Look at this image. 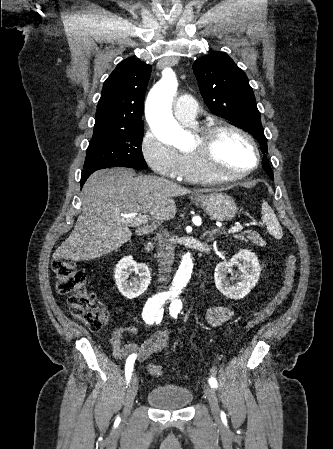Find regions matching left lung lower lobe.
Segmentation results:
<instances>
[{
    "label": "left lung lower lobe",
    "instance_id": "left-lung-lower-lobe-1",
    "mask_svg": "<svg viewBox=\"0 0 333 449\" xmlns=\"http://www.w3.org/2000/svg\"><path fill=\"white\" fill-rule=\"evenodd\" d=\"M262 165H263V168L266 171V173H272V170L270 168V165H269L266 157L263 158Z\"/></svg>",
    "mask_w": 333,
    "mask_h": 449
}]
</instances>
